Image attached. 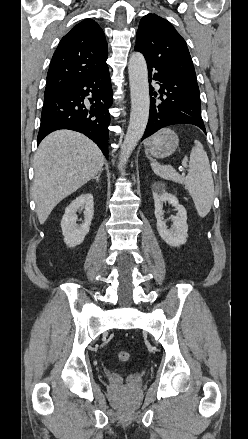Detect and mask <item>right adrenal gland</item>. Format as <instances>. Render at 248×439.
Segmentation results:
<instances>
[{
	"label": "right adrenal gland",
	"mask_w": 248,
	"mask_h": 439,
	"mask_svg": "<svg viewBox=\"0 0 248 439\" xmlns=\"http://www.w3.org/2000/svg\"><path fill=\"white\" fill-rule=\"evenodd\" d=\"M101 173H102V170L98 173V175H97L95 178H93V179L96 180V182H99V179H100Z\"/></svg>",
	"instance_id": "obj_1"
}]
</instances>
